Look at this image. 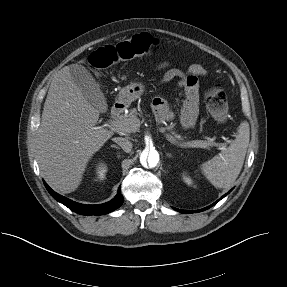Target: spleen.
Returning <instances> with one entry per match:
<instances>
[{"label": "spleen", "instance_id": "obj_1", "mask_svg": "<svg viewBox=\"0 0 287 287\" xmlns=\"http://www.w3.org/2000/svg\"><path fill=\"white\" fill-rule=\"evenodd\" d=\"M250 140L249 123L238 127L235 139L218 155L201 165L203 175L218 188H228L237 179L243 167Z\"/></svg>", "mask_w": 287, "mask_h": 287}]
</instances>
